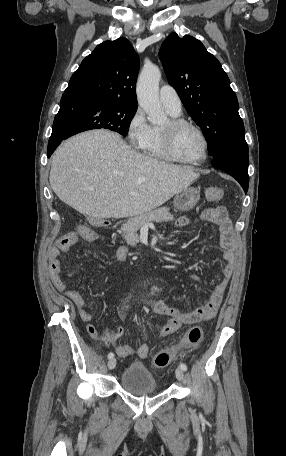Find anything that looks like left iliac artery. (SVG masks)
Here are the masks:
<instances>
[{"label":"left iliac artery","mask_w":286,"mask_h":456,"mask_svg":"<svg viewBox=\"0 0 286 456\" xmlns=\"http://www.w3.org/2000/svg\"><path fill=\"white\" fill-rule=\"evenodd\" d=\"M179 367H180L183 371H186V370H187V366H186V364H184V363H180Z\"/></svg>","instance_id":"44dca946"}]
</instances>
